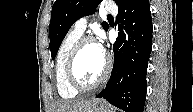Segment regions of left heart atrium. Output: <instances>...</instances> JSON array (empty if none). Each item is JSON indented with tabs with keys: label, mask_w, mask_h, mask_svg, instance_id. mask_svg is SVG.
Returning a JSON list of instances; mask_svg holds the SVG:
<instances>
[{
	"label": "left heart atrium",
	"mask_w": 193,
	"mask_h": 112,
	"mask_svg": "<svg viewBox=\"0 0 193 112\" xmlns=\"http://www.w3.org/2000/svg\"><path fill=\"white\" fill-rule=\"evenodd\" d=\"M97 44H98V46H99L101 52H102L103 54H105V48H104V45H103L102 43H97Z\"/></svg>",
	"instance_id": "left-heart-atrium-1"
}]
</instances>
